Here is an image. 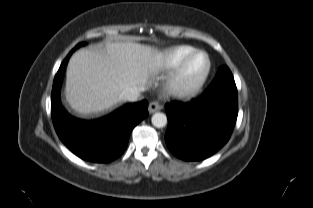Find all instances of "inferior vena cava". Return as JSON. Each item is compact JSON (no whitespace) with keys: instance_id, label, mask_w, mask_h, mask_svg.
<instances>
[{"instance_id":"inferior-vena-cava-1","label":"inferior vena cava","mask_w":313,"mask_h":208,"mask_svg":"<svg viewBox=\"0 0 313 208\" xmlns=\"http://www.w3.org/2000/svg\"><path fill=\"white\" fill-rule=\"evenodd\" d=\"M141 90L137 87H128L120 94V99L125 101H137L140 97Z\"/></svg>"}]
</instances>
